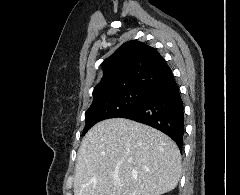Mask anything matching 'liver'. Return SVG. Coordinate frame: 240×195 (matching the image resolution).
<instances>
[{
	"instance_id": "6515ba94",
	"label": "liver",
	"mask_w": 240,
	"mask_h": 195,
	"mask_svg": "<svg viewBox=\"0 0 240 195\" xmlns=\"http://www.w3.org/2000/svg\"><path fill=\"white\" fill-rule=\"evenodd\" d=\"M181 159L159 129L124 117L103 119L81 141L74 195H161L176 187Z\"/></svg>"
}]
</instances>
